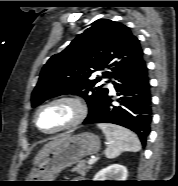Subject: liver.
<instances>
[{
	"label": "liver",
	"instance_id": "liver-1",
	"mask_svg": "<svg viewBox=\"0 0 178 186\" xmlns=\"http://www.w3.org/2000/svg\"><path fill=\"white\" fill-rule=\"evenodd\" d=\"M64 139V135L56 137L53 141H50L38 152L36 157L34 158L33 164L36 165L40 160H42L46 154L54 148L58 143H60Z\"/></svg>",
	"mask_w": 178,
	"mask_h": 186
}]
</instances>
